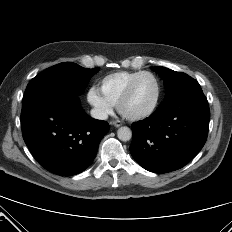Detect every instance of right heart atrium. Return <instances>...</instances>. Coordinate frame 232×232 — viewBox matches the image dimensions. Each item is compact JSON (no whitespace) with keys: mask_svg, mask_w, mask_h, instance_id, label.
Instances as JSON below:
<instances>
[{"mask_svg":"<svg viewBox=\"0 0 232 232\" xmlns=\"http://www.w3.org/2000/svg\"><path fill=\"white\" fill-rule=\"evenodd\" d=\"M87 101L93 108L95 115L100 119L107 118L113 112V105L108 102L96 87L87 92Z\"/></svg>","mask_w":232,"mask_h":232,"instance_id":"obj_1","label":"right heart atrium"}]
</instances>
